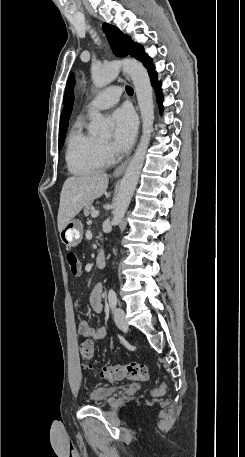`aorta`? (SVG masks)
Wrapping results in <instances>:
<instances>
[{
  "mask_svg": "<svg viewBox=\"0 0 245 457\" xmlns=\"http://www.w3.org/2000/svg\"><path fill=\"white\" fill-rule=\"evenodd\" d=\"M121 67L130 75L135 87L142 119V136L121 180L116 196L113 211V222L116 224L123 219L135 191L145 161L154 122L153 93L149 75L144 66L137 60L113 61L101 68H93L91 72L93 84L98 88L110 84L118 76ZM110 124L108 118L102 116L99 112H94L90 129L95 134H104L108 131Z\"/></svg>",
  "mask_w": 245,
  "mask_h": 457,
  "instance_id": "aorta-1",
  "label": "aorta"
}]
</instances>
